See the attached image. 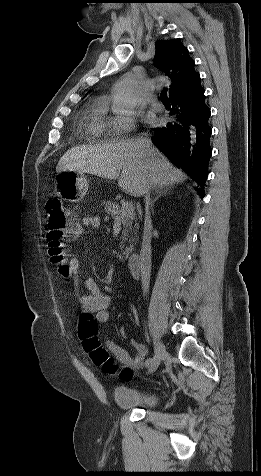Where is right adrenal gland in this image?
I'll list each match as a JSON object with an SVG mask.
<instances>
[{
    "label": "right adrenal gland",
    "instance_id": "1",
    "mask_svg": "<svg viewBox=\"0 0 261 476\" xmlns=\"http://www.w3.org/2000/svg\"><path fill=\"white\" fill-rule=\"evenodd\" d=\"M171 187H160L154 189V194L156 197L152 200L150 194L146 197V204L150 205L151 210L153 211L154 203L161 197L165 196L167 193H170Z\"/></svg>",
    "mask_w": 261,
    "mask_h": 476
}]
</instances>
